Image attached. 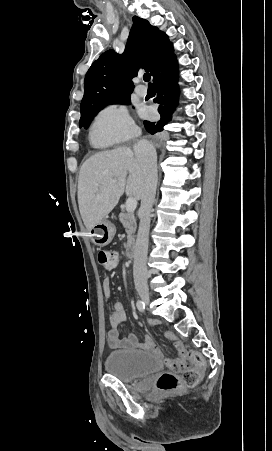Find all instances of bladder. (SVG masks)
Masks as SVG:
<instances>
[{"mask_svg": "<svg viewBox=\"0 0 272 451\" xmlns=\"http://www.w3.org/2000/svg\"><path fill=\"white\" fill-rule=\"evenodd\" d=\"M106 373L123 383L136 382L159 371L163 364L156 356L140 351L112 350L106 360Z\"/></svg>", "mask_w": 272, "mask_h": 451, "instance_id": "bladder-1", "label": "bladder"}]
</instances>
